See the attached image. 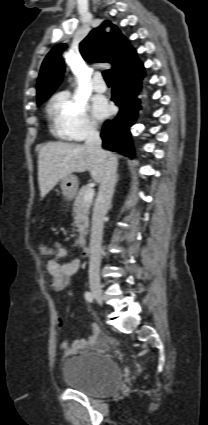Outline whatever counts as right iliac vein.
Returning <instances> with one entry per match:
<instances>
[{
    "instance_id": "obj_1",
    "label": "right iliac vein",
    "mask_w": 208,
    "mask_h": 425,
    "mask_svg": "<svg viewBox=\"0 0 208 425\" xmlns=\"http://www.w3.org/2000/svg\"><path fill=\"white\" fill-rule=\"evenodd\" d=\"M91 291L95 297V299L101 304L103 300V292L99 283L92 282L90 284Z\"/></svg>"
}]
</instances>
